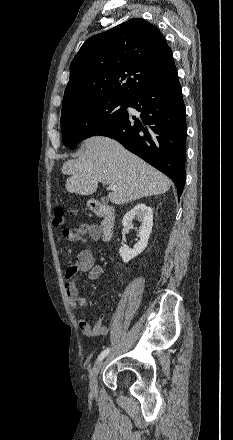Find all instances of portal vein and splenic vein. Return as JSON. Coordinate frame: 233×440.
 Masks as SVG:
<instances>
[{
  "instance_id": "1",
  "label": "portal vein and splenic vein",
  "mask_w": 233,
  "mask_h": 440,
  "mask_svg": "<svg viewBox=\"0 0 233 440\" xmlns=\"http://www.w3.org/2000/svg\"><path fill=\"white\" fill-rule=\"evenodd\" d=\"M109 189H110V190H116V189H117V186H116V185H110V186H109Z\"/></svg>"
}]
</instances>
